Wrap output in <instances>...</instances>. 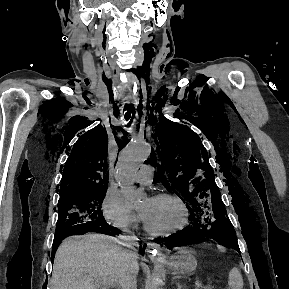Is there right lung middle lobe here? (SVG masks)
Returning <instances> with one entry per match:
<instances>
[{
  "label": "right lung middle lobe",
  "instance_id": "dd1d6c3e",
  "mask_svg": "<svg viewBox=\"0 0 289 289\" xmlns=\"http://www.w3.org/2000/svg\"><path fill=\"white\" fill-rule=\"evenodd\" d=\"M107 188L61 197L55 236H65L83 226L105 221L101 212Z\"/></svg>",
  "mask_w": 289,
  "mask_h": 289
}]
</instances>
